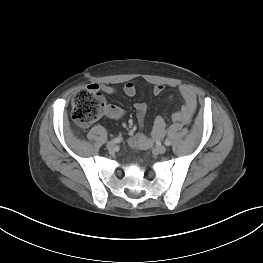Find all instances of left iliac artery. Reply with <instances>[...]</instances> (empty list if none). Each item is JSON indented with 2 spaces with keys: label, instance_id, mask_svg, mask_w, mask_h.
<instances>
[{
  "label": "left iliac artery",
  "instance_id": "left-iliac-artery-1",
  "mask_svg": "<svg viewBox=\"0 0 263 263\" xmlns=\"http://www.w3.org/2000/svg\"><path fill=\"white\" fill-rule=\"evenodd\" d=\"M164 144H165L166 146H170V145H171V141L168 140V139H166V140L164 141Z\"/></svg>",
  "mask_w": 263,
  "mask_h": 263
}]
</instances>
